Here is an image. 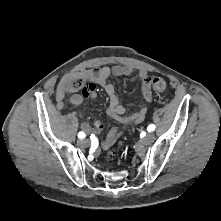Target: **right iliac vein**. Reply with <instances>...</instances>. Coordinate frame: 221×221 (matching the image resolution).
Instances as JSON below:
<instances>
[{"instance_id":"obj_1","label":"right iliac vein","mask_w":221,"mask_h":221,"mask_svg":"<svg viewBox=\"0 0 221 221\" xmlns=\"http://www.w3.org/2000/svg\"><path fill=\"white\" fill-rule=\"evenodd\" d=\"M78 144L81 147H88L90 145V141L87 139H83V140L78 141Z\"/></svg>"}]
</instances>
